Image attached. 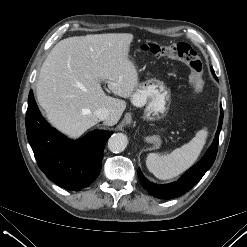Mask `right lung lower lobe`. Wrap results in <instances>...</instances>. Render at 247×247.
Masks as SVG:
<instances>
[{
  "instance_id": "98d812e1",
  "label": "right lung lower lobe",
  "mask_w": 247,
  "mask_h": 247,
  "mask_svg": "<svg viewBox=\"0 0 247 247\" xmlns=\"http://www.w3.org/2000/svg\"><path fill=\"white\" fill-rule=\"evenodd\" d=\"M26 132L40 169L58 186L79 191L98 177L105 144L112 132L94 131L81 141L60 134L41 116L32 90L26 112Z\"/></svg>"
}]
</instances>
